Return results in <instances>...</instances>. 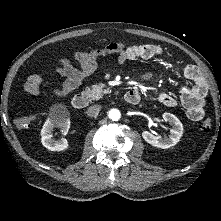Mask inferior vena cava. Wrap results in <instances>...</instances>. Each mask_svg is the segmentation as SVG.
<instances>
[{"mask_svg":"<svg viewBox=\"0 0 221 221\" xmlns=\"http://www.w3.org/2000/svg\"><path fill=\"white\" fill-rule=\"evenodd\" d=\"M101 105H92L87 109V115L90 117H96L101 110Z\"/></svg>","mask_w":221,"mask_h":221,"instance_id":"602c4592","label":"inferior vena cava"}]
</instances>
